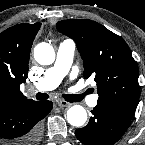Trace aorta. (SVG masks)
Segmentation results:
<instances>
[{"instance_id":"762f6f07","label":"aorta","mask_w":145,"mask_h":145,"mask_svg":"<svg viewBox=\"0 0 145 145\" xmlns=\"http://www.w3.org/2000/svg\"><path fill=\"white\" fill-rule=\"evenodd\" d=\"M34 58L41 65H50L55 60V52L52 46L42 42L34 48ZM87 120V112L81 105H74L67 111V121L75 127H80Z\"/></svg>"}]
</instances>
